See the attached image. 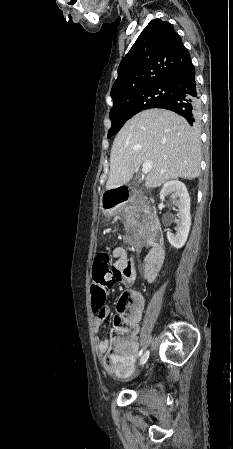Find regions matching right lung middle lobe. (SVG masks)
Returning a JSON list of instances; mask_svg holds the SVG:
<instances>
[{
  "label": "right lung middle lobe",
  "instance_id": "obj_1",
  "mask_svg": "<svg viewBox=\"0 0 233 449\" xmlns=\"http://www.w3.org/2000/svg\"><path fill=\"white\" fill-rule=\"evenodd\" d=\"M169 95L170 86L168 84H156L114 99V105L110 110L112 127L107 137L116 134L132 116L142 110L155 108Z\"/></svg>",
  "mask_w": 233,
  "mask_h": 449
}]
</instances>
